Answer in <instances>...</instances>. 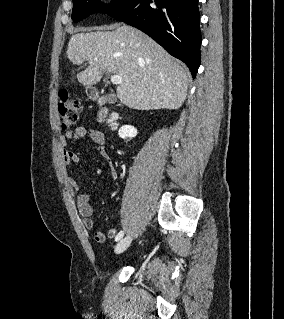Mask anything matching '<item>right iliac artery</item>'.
I'll list each match as a JSON object with an SVG mask.
<instances>
[{"label": "right iliac artery", "mask_w": 284, "mask_h": 319, "mask_svg": "<svg viewBox=\"0 0 284 319\" xmlns=\"http://www.w3.org/2000/svg\"><path fill=\"white\" fill-rule=\"evenodd\" d=\"M123 235H124V231H120V232L117 234V236H116V238H115V241H119V240L123 237Z\"/></svg>", "instance_id": "right-iliac-artery-1"}]
</instances>
